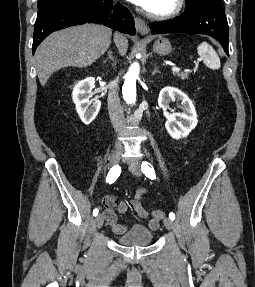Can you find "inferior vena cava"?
Listing matches in <instances>:
<instances>
[{
    "label": "inferior vena cava",
    "mask_w": 255,
    "mask_h": 287,
    "mask_svg": "<svg viewBox=\"0 0 255 287\" xmlns=\"http://www.w3.org/2000/svg\"><path fill=\"white\" fill-rule=\"evenodd\" d=\"M109 94H108V110H109V116L110 120L113 124V128L119 132V130H122L123 124H124V112L123 108L120 106V98L118 96V78L116 80H113V82H110L109 86ZM116 147H122V144L120 142H117L115 144Z\"/></svg>",
    "instance_id": "1"
}]
</instances>
